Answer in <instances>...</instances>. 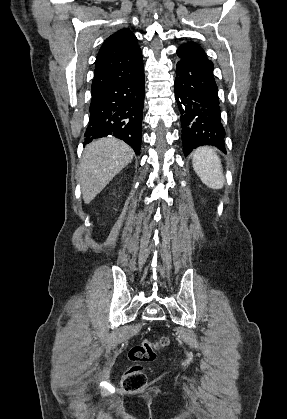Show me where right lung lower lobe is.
<instances>
[{
	"label": "right lung lower lobe",
	"instance_id": "obj_1",
	"mask_svg": "<svg viewBox=\"0 0 287 419\" xmlns=\"http://www.w3.org/2000/svg\"><path fill=\"white\" fill-rule=\"evenodd\" d=\"M144 67L134 74L91 92L89 125L84 144L114 136L140 154L144 105Z\"/></svg>",
	"mask_w": 287,
	"mask_h": 419
}]
</instances>
